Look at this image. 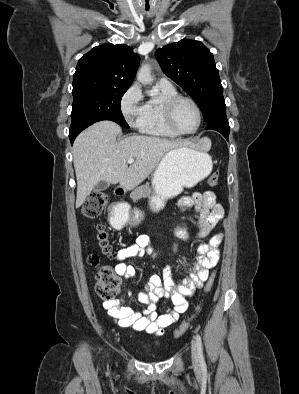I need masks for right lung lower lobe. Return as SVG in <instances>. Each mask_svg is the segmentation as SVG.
<instances>
[{"instance_id":"obj_1","label":"right lung lower lobe","mask_w":299,"mask_h":394,"mask_svg":"<svg viewBox=\"0 0 299 394\" xmlns=\"http://www.w3.org/2000/svg\"><path fill=\"white\" fill-rule=\"evenodd\" d=\"M98 120H85V121H77L74 123H71L70 126V133H69V138L71 144H73L74 139L76 136L85 128L90 126L91 124L97 122Z\"/></svg>"}]
</instances>
